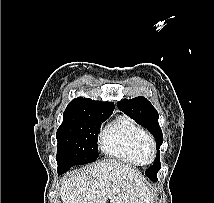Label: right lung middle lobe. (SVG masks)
Instances as JSON below:
<instances>
[{
    "mask_svg": "<svg viewBox=\"0 0 214 203\" xmlns=\"http://www.w3.org/2000/svg\"><path fill=\"white\" fill-rule=\"evenodd\" d=\"M110 115L86 109H66L56 133L58 173L72 166L94 162L98 154V132Z\"/></svg>",
    "mask_w": 214,
    "mask_h": 203,
    "instance_id": "obj_1",
    "label": "right lung middle lobe"
}]
</instances>
